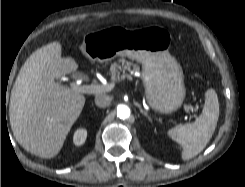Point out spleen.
Instances as JSON below:
<instances>
[{"label":"spleen","mask_w":245,"mask_h":187,"mask_svg":"<svg viewBox=\"0 0 245 187\" xmlns=\"http://www.w3.org/2000/svg\"><path fill=\"white\" fill-rule=\"evenodd\" d=\"M219 118L218 96L214 89L205 93L201 115L192 124L178 125L168 130V136L183 148L182 159L189 160L198 155L210 141Z\"/></svg>","instance_id":"obj_1"}]
</instances>
